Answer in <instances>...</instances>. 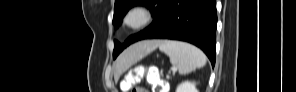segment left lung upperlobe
Masks as SVG:
<instances>
[{
  "instance_id": "left-lung-upper-lobe-1",
  "label": "left lung upper lobe",
  "mask_w": 296,
  "mask_h": 92,
  "mask_svg": "<svg viewBox=\"0 0 296 92\" xmlns=\"http://www.w3.org/2000/svg\"><path fill=\"white\" fill-rule=\"evenodd\" d=\"M168 2L169 0H115L113 24L117 23L116 27L120 25V20L125 16L128 10L135 5L147 6L151 11L154 20L149 27L138 34L130 36L124 44H120L115 41L113 58H116L117 55L128 45L141 40L145 35L153 32L161 26L165 18V9Z\"/></svg>"
}]
</instances>
